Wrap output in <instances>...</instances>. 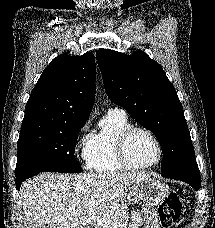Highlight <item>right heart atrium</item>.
<instances>
[{"instance_id":"right-heart-atrium-1","label":"right heart atrium","mask_w":215,"mask_h":228,"mask_svg":"<svg viewBox=\"0 0 215 228\" xmlns=\"http://www.w3.org/2000/svg\"><path fill=\"white\" fill-rule=\"evenodd\" d=\"M89 124L86 123L84 126H83V130H86L88 128Z\"/></svg>"}]
</instances>
